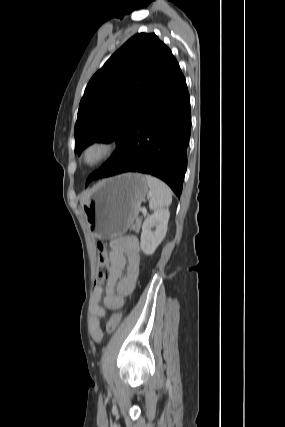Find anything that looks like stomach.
<instances>
[{"mask_svg": "<svg viewBox=\"0 0 285 427\" xmlns=\"http://www.w3.org/2000/svg\"><path fill=\"white\" fill-rule=\"evenodd\" d=\"M147 193V180L139 173L102 180L90 197L81 202L90 230L100 239L122 235L137 218Z\"/></svg>", "mask_w": 285, "mask_h": 427, "instance_id": "obj_1", "label": "stomach"}]
</instances>
